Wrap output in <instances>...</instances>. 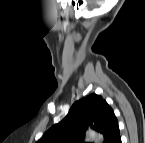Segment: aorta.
<instances>
[{
    "label": "aorta",
    "instance_id": "obj_1",
    "mask_svg": "<svg viewBox=\"0 0 145 143\" xmlns=\"http://www.w3.org/2000/svg\"><path fill=\"white\" fill-rule=\"evenodd\" d=\"M87 135H88L90 138H92L93 140L98 141V139H97V133H96L95 131H93V130H88V131H87Z\"/></svg>",
    "mask_w": 145,
    "mask_h": 143
}]
</instances>
